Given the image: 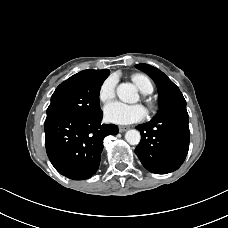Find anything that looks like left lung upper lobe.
Instances as JSON below:
<instances>
[{"mask_svg": "<svg viewBox=\"0 0 228 228\" xmlns=\"http://www.w3.org/2000/svg\"><path fill=\"white\" fill-rule=\"evenodd\" d=\"M136 68L148 74L157 85L160 108L153 119L178 104L186 103L179 88L158 68L148 64H137Z\"/></svg>", "mask_w": 228, "mask_h": 228, "instance_id": "1", "label": "left lung upper lobe"}]
</instances>
